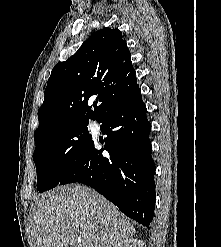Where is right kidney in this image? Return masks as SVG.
<instances>
[{
	"label": "right kidney",
	"instance_id": "obj_1",
	"mask_svg": "<svg viewBox=\"0 0 221 247\" xmlns=\"http://www.w3.org/2000/svg\"><path fill=\"white\" fill-rule=\"evenodd\" d=\"M114 247H145V244L142 240L127 238L118 242Z\"/></svg>",
	"mask_w": 221,
	"mask_h": 247
}]
</instances>
